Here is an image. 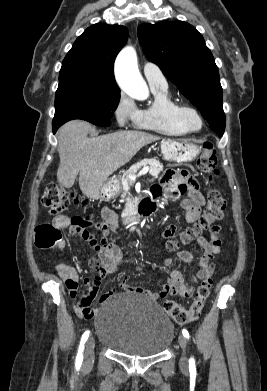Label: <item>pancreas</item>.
Segmentation results:
<instances>
[{
	"label": "pancreas",
	"mask_w": 267,
	"mask_h": 391,
	"mask_svg": "<svg viewBox=\"0 0 267 391\" xmlns=\"http://www.w3.org/2000/svg\"><path fill=\"white\" fill-rule=\"evenodd\" d=\"M142 166H149V172L153 177H158L160 172L163 171V165L155 159H143L137 162L136 164L132 165L129 170L124 172L122 176L119 177L122 189L125 192H127L129 187L133 184V180H131L129 176L135 175L137 170L140 169Z\"/></svg>",
	"instance_id": "pancreas-1"
}]
</instances>
